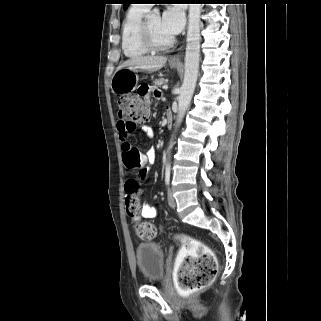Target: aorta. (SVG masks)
<instances>
[{"label": "aorta", "mask_w": 321, "mask_h": 321, "mask_svg": "<svg viewBox=\"0 0 321 321\" xmlns=\"http://www.w3.org/2000/svg\"><path fill=\"white\" fill-rule=\"evenodd\" d=\"M154 12L158 13L159 11L158 9H154ZM200 15L201 4H190L188 15L187 45L185 53V74L178 97V115L176 128L182 122L185 112L192 99L197 82L201 39Z\"/></svg>", "instance_id": "762f6f07"}]
</instances>
